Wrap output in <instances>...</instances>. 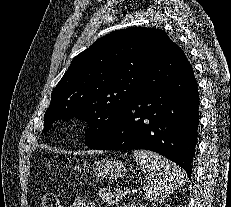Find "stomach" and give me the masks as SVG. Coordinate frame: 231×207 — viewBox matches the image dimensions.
<instances>
[{
  "instance_id": "0dacf381",
  "label": "stomach",
  "mask_w": 231,
  "mask_h": 207,
  "mask_svg": "<svg viewBox=\"0 0 231 207\" xmlns=\"http://www.w3.org/2000/svg\"><path fill=\"white\" fill-rule=\"evenodd\" d=\"M75 171H89V169H92L98 177L102 178H109V179H116L119 177H123L126 172V164L122 163L118 160H101V161H95L94 165L90 167L89 165L83 164V165H75L73 167Z\"/></svg>"
}]
</instances>
